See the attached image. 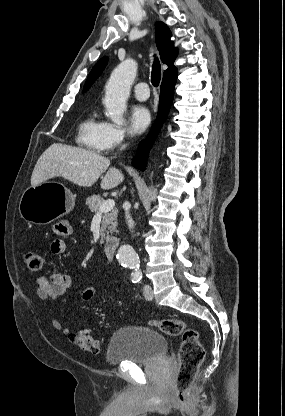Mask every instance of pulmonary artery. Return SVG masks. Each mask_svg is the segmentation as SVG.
<instances>
[{
  "instance_id": "obj_1",
  "label": "pulmonary artery",
  "mask_w": 285,
  "mask_h": 416,
  "mask_svg": "<svg viewBox=\"0 0 285 416\" xmlns=\"http://www.w3.org/2000/svg\"><path fill=\"white\" fill-rule=\"evenodd\" d=\"M147 84L145 82H140L135 84L132 87L134 95L139 100H145L148 98V89L146 88Z\"/></svg>"
}]
</instances>
